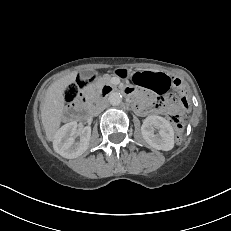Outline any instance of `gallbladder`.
<instances>
[{
    "instance_id": "1",
    "label": "gallbladder",
    "mask_w": 231,
    "mask_h": 231,
    "mask_svg": "<svg viewBox=\"0 0 231 231\" xmlns=\"http://www.w3.org/2000/svg\"><path fill=\"white\" fill-rule=\"evenodd\" d=\"M91 74H92L91 71H86V72L84 73V76H90Z\"/></svg>"
}]
</instances>
